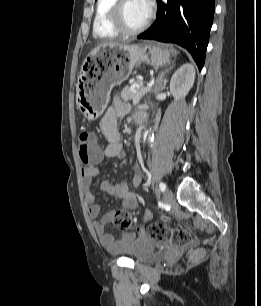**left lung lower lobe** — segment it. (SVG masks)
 I'll return each mask as SVG.
<instances>
[{
	"mask_svg": "<svg viewBox=\"0 0 261 306\" xmlns=\"http://www.w3.org/2000/svg\"><path fill=\"white\" fill-rule=\"evenodd\" d=\"M215 0H157L153 25L138 39L176 43L186 48L199 69L204 65Z\"/></svg>",
	"mask_w": 261,
	"mask_h": 306,
	"instance_id": "obj_1",
	"label": "left lung lower lobe"
}]
</instances>
